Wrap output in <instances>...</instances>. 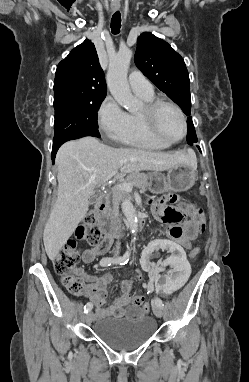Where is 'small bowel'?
Masks as SVG:
<instances>
[{"instance_id": "1", "label": "small bowel", "mask_w": 249, "mask_h": 382, "mask_svg": "<svg viewBox=\"0 0 249 382\" xmlns=\"http://www.w3.org/2000/svg\"><path fill=\"white\" fill-rule=\"evenodd\" d=\"M180 200L181 198L177 195H168L157 201L150 200V204L154 217L163 223L169 224L167 232L168 240L178 241L179 245H182V250H184L191 247V242L199 235L200 228L195 219L187 217L180 209L167 205V202L178 203ZM168 212L170 216L167 215ZM112 243L113 240L106 237L98 246L86 249L82 254L83 262L87 264L92 263L96 256L107 252ZM76 272L87 282L84 293L94 303L95 313L99 318L135 317L142 316L147 312V310L135 305L128 308L130 303V291L133 284L140 278L139 275L132 279L122 281V295L114 299L110 307L105 308L108 293L107 287L113 280V275L111 273H105L98 277L88 274L82 269H77ZM144 286L151 288L152 283L149 281L145 283Z\"/></svg>"}]
</instances>
